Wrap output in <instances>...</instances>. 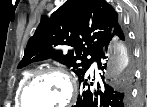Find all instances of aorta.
Wrapping results in <instances>:
<instances>
[{
    "mask_svg": "<svg viewBox=\"0 0 147 107\" xmlns=\"http://www.w3.org/2000/svg\"><path fill=\"white\" fill-rule=\"evenodd\" d=\"M131 55L125 45L117 38L113 40V49L110 55L106 81L113 87H117L130 73Z\"/></svg>",
    "mask_w": 147,
    "mask_h": 107,
    "instance_id": "762f6f07",
    "label": "aorta"
}]
</instances>
